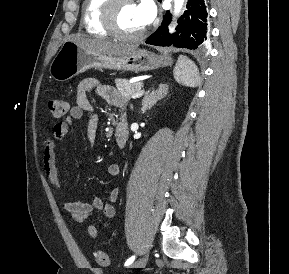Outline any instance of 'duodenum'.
<instances>
[{
    "instance_id": "1",
    "label": "duodenum",
    "mask_w": 289,
    "mask_h": 274,
    "mask_svg": "<svg viewBox=\"0 0 289 274\" xmlns=\"http://www.w3.org/2000/svg\"><path fill=\"white\" fill-rule=\"evenodd\" d=\"M115 141L119 148H123L126 145L128 139V123L125 117H122L115 129Z\"/></svg>"
}]
</instances>
